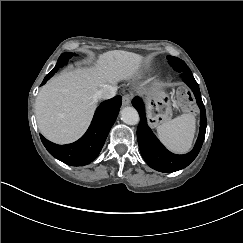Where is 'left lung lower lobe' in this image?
Wrapping results in <instances>:
<instances>
[{
	"mask_svg": "<svg viewBox=\"0 0 243 243\" xmlns=\"http://www.w3.org/2000/svg\"><path fill=\"white\" fill-rule=\"evenodd\" d=\"M184 82L190 87L196 98L201 111L200 132L194 149L185 155H176L169 152L155 137L147 125L144 104L139 97L132 100L133 106L139 112L140 123L137 128V139L142 157L146 163L153 169L160 172H175L188 166L198 155L206 132V111L203 105L199 85L194 79L191 71H178Z\"/></svg>",
	"mask_w": 243,
	"mask_h": 243,
	"instance_id": "obj_1",
	"label": "left lung lower lobe"
}]
</instances>
